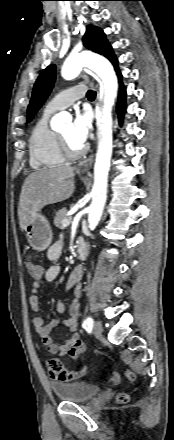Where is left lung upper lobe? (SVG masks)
I'll use <instances>...</instances> for the list:
<instances>
[{
  "label": "left lung upper lobe",
  "mask_w": 174,
  "mask_h": 440,
  "mask_svg": "<svg viewBox=\"0 0 174 440\" xmlns=\"http://www.w3.org/2000/svg\"><path fill=\"white\" fill-rule=\"evenodd\" d=\"M86 48L101 54L109 60L115 56L102 29L93 25L87 26L83 37ZM56 78V66L49 65L39 75L33 89L32 98L27 109V121L30 122L50 94Z\"/></svg>",
  "instance_id": "left-lung-upper-lobe-1"
}]
</instances>
